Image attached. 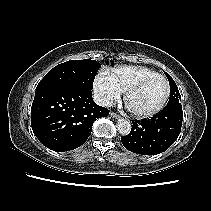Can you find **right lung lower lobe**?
<instances>
[{
	"label": "right lung lower lobe",
	"instance_id": "right-lung-lower-lobe-1",
	"mask_svg": "<svg viewBox=\"0 0 211 211\" xmlns=\"http://www.w3.org/2000/svg\"><path fill=\"white\" fill-rule=\"evenodd\" d=\"M109 110L97 105L90 89L54 86L35 92L31 126L47 148L64 152L81 146L90 136L92 125Z\"/></svg>",
	"mask_w": 211,
	"mask_h": 211
}]
</instances>
